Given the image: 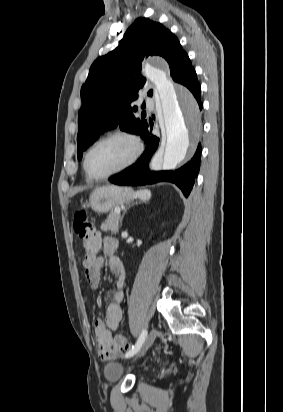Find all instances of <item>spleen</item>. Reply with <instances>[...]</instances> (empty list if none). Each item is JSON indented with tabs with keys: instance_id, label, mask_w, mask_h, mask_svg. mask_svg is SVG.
I'll return each instance as SVG.
<instances>
[{
	"instance_id": "obj_1",
	"label": "spleen",
	"mask_w": 283,
	"mask_h": 412,
	"mask_svg": "<svg viewBox=\"0 0 283 412\" xmlns=\"http://www.w3.org/2000/svg\"><path fill=\"white\" fill-rule=\"evenodd\" d=\"M136 196L142 200H149L151 197V192L147 189L139 190L136 192Z\"/></svg>"
}]
</instances>
